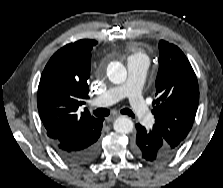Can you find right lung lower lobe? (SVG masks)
<instances>
[{
	"instance_id": "obj_1",
	"label": "right lung lower lobe",
	"mask_w": 223,
	"mask_h": 188,
	"mask_svg": "<svg viewBox=\"0 0 223 188\" xmlns=\"http://www.w3.org/2000/svg\"><path fill=\"white\" fill-rule=\"evenodd\" d=\"M103 118L83 136L60 141H52L58 155L72 165H86L93 161L99 153L98 139L103 126Z\"/></svg>"
}]
</instances>
